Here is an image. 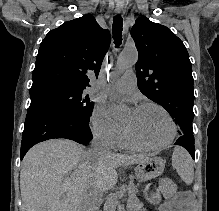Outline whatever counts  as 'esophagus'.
<instances>
[{
	"label": "esophagus",
	"mask_w": 219,
	"mask_h": 211,
	"mask_svg": "<svg viewBox=\"0 0 219 211\" xmlns=\"http://www.w3.org/2000/svg\"><path fill=\"white\" fill-rule=\"evenodd\" d=\"M115 10L117 13L121 12L123 10V5H116Z\"/></svg>",
	"instance_id": "1"
}]
</instances>
